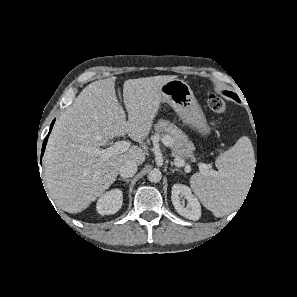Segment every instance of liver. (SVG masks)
<instances>
[{"label":"liver","instance_id":"liver-1","mask_svg":"<svg viewBox=\"0 0 297 297\" xmlns=\"http://www.w3.org/2000/svg\"><path fill=\"white\" fill-rule=\"evenodd\" d=\"M174 78L126 80L123 98L128 120L116 97V77L92 82L81 91L56 122L44 156L46 188L60 209L83 211L116 180L122 164L144 162L146 152L136 145L104 162L91 151L125 134L135 141L145 140L160 108V87Z\"/></svg>","mask_w":297,"mask_h":297}]
</instances>
